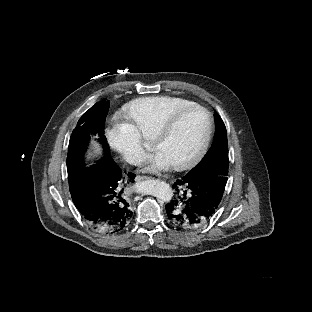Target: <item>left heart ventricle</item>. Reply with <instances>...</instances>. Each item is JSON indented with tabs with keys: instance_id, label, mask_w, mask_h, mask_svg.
<instances>
[{
	"instance_id": "obj_1",
	"label": "left heart ventricle",
	"mask_w": 312,
	"mask_h": 312,
	"mask_svg": "<svg viewBox=\"0 0 312 312\" xmlns=\"http://www.w3.org/2000/svg\"><path fill=\"white\" fill-rule=\"evenodd\" d=\"M209 134V120L201 111L180 115L161 140L162 151L177 163L191 160Z\"/></svg>"
}]
</instances>
